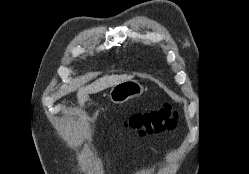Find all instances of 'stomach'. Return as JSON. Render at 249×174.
Instances as JSON below:
<instances>
[{"label": "stomach", "mask_w": 249, "mask_h": 174, "mask_svg": "<svg viewBox=\"0 0 249 174\" xmlns=\"http://www.w3.org/2000/svg\"><path fill=\"white\" fill-rule=\"evenodd\" d=\"M143 86L135 80H128L114 85L109 98L115 104H122L143 93Z\"/></svg>", "instance_id": "stomach-1"}]
</instances>
